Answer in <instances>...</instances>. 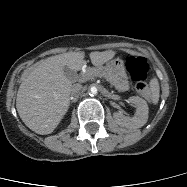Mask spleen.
<instances>
[{
	"mask_svg": "<svg viewBox=\"0 0 187 187\" xmlns=\"http://www.w3.org/2000/svg\"><path fill=\"white\" fill-rule=\"evenodd\" d=\"M150 89L152 93V101L154 104H157L159 101L160 87H159V82L156 78H153L150 81Z\"/></svg>",
	"mask_w": 187,
	"mask_h": 187,
	"instance_id": "3e777b00",
	"label": "spleen"
}]
</instances>
